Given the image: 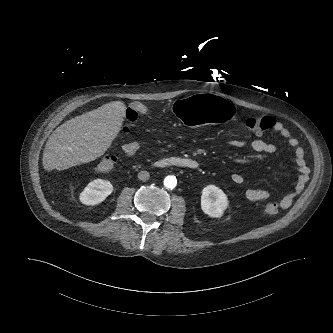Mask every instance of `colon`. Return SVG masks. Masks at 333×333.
Instances as JSON below:
<instances>
[{
	"label": "colon",
	"instance_id": "obj_1",
	"mask_svg": "<svg viewBox=\"0 0 333 333\" xmlns=\"http://www.w3.org/2000/svg\"><path fill=\"white\" fill-rule=\"evenodd\" d=\"M147 112V108L143 105L131 104L127 107L126 119L129 124H132L137 120L139 114H146ZM274 123L275 120L269 116L251 117L246 120V127L255 134H262L266 130L273 128ZM129 129V126L125 127L126 131H129ZM116 162V157L105 156L96 165V170L105 173L110 172L115 168ZM278 210L279 206L276 202H269L263 206L262 212L265 215L273 216L278 213Z\"/></svg>",
	"mask_w": 333,
	"mask_h": 333
}]
</instances>
